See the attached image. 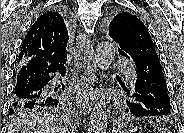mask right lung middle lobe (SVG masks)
I'll use <instances>...</instances> for the list:
<instances>
[{
    "label": "right lung middle lobe",
    "instance_id": "obj_1",
    "mask_svg": "<svg viewBox=\"0 0 184 133\" xmlns=\"http://www.w3.org/2000/svg\"><path fill=\"white\" fill-rule=\"evenodd\" d=\"M62 104H55L52 106H46L45 108H49L51 111H56L55 107H60ZM40 108H44L43 106H37V105H28V104H23V103H15L13 100V103L11 105V113L14 112L15 114L18 115H24L28 114L31 112H35Z\"/></svg>",
    "mask_w": 184,
    "mask_h": 133
}]
</instances>
